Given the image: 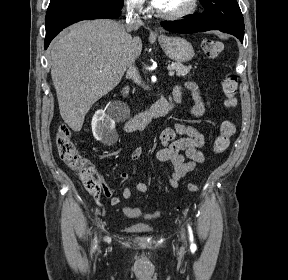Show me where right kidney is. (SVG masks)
Returning a JSON list of instances; mask_svg holds the SVG:
<instances>
[{
    "label": "right kidney",
    "instance_id": "right-kidney-1",
    "mask_svg": "<svg viewBox=\"0 0 288 280\" xmlns=\"http://www.w3.org/2000/svg\"><path fill=\"white\" fill-rule=\"evenodd\" d=\"M92 132L96 140L110 145L116 140L115 122L102 111H97L92 118Z\"/></svg>",
    "mask_w": 288,
    "mask_h": 280
}]
</instances>
